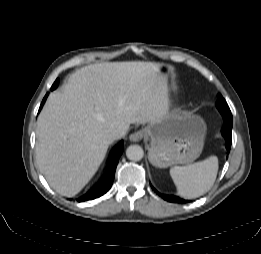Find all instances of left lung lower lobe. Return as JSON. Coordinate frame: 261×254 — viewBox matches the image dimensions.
Instances as JSON below:
<instances>
[{
	"instance_id": "0a47b994",
	"label": "left lung lower lobe",
	"mask_w": 261,
	"mask_h": 254,
	"mask_svg": "<svg viewBox=\"0 0 261 254\" xmlns=\"http://www.w3.org/2000/svg\"><path fill=\"white\" fill-rule=\"evenodd\" d=\"M224 119V128L222 131V135L225 138L226 141V149L229 152L231 148V143H232V124H233V118L232 114H226V113H221ZM155 190V189H154ZM157 192V191H156ZM163 199L169 202H174V203H187V200H184L178 196H173V195H164L158 193Z\"/></svg>"
}]
</instances>
